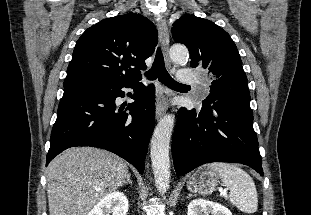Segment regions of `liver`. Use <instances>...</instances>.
Masks as SVG:
<instances>
[{"label":"liver","mask_w":311,"mask_h":215,"mask_svg":"<svg viewBox=\"0 0 311 215\" xmlns=\"http://www.w3.org/2000/svg\"><path fill=\"white\" fill-rule=\"evenodd\" d=\"M127 176L125 161L110 152L91 147L65 150L47 168L50 215H87Z\"/></svg>","instance_id":"liver-1"}]
</instances>
